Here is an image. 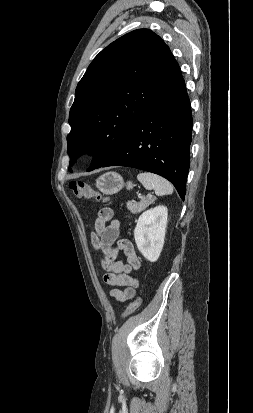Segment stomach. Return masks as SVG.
I'll return each mask as SVG.
<instances>
[{
	"mask_svg": "<svg viewBox=\"0 0 253 413\" xmlns=\"http://www.w3.org/2000/svg\"><path fill=\"white\" fill-rule=\"evenodd\" d=\"M96 187L105 195H113L124 187L127 190L132 189L134 184L131 181L125 183L122 176L116 172H107L96 180Z\"/></svg>",
	"mask_w": 253,
	"mask_h": 413,
	"instance_id": "1",
	"label": "stomach"
}]
</instances>
